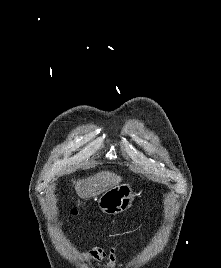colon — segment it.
I'll list each match as a JSON object with an SVG mask.
<instances>
[{
  "label": "colon",
  "instance_id": "obj_1",
  "mask_svg": "<svg viewBox=\"0 0 221 268\" xmlns=\"http://www.w3.org/2000/svg\"><path fill=\"white\" fill-rule=\"evenodd\" d=\"M72 214H73V215H77L78 213H77L76 210H73V211H72Z\"/></svg>",
  "mask_w": 221,
  "mask_h": 268
}]
</instances>
